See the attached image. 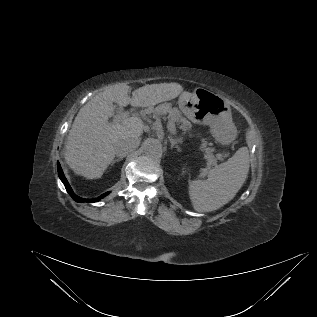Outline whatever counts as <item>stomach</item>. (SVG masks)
<instances>
[{"label":"stomach","instance_id":"stomach-1","mask_svg":"<svg viewBox=\"0 0 317 317\" xmlns=\"http://www.w3.org/2000/svg\"><path fill=\"white\" fill-rule=\"evenodd\" d=\"M178 104L193 121L208 124L218 141L230 143L234 140L236 128L231 119L230 106L224 97L198 87L193 93L183 92Z\"/></svg>","mask_w":317,"mask_h":317}]
</instances>
